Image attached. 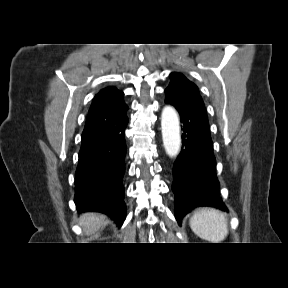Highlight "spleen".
<instances>
[{"label":"spleen","instance_id":"1","mask_svg":"<svg viewBox=\"0 0 288 288\" xmlns=\"http://www.w3.org/2000/svg\"><path fill=\"white\" fill-rule=\"evenodd\" d=\"M192 231L201 239L220 243L228 234V224L222 212L203 208L196 211L189 221Z\"/></svg>","mask_w":288,"mask_h":288}]
</instances>
